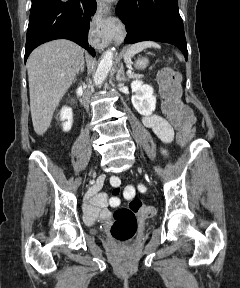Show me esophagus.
Masks as SVG:
<instances>
[{
    "mask_svg": "<svg viewBox=\"0 0 240 288\" xmlns=\"http://www.w3.org/2000/svg\"><path fill=\"white\" fill-rule=\"evenodd\" d=\"M94 21L97 26L98 40L106 46L113 38L114 20L110 15V7L104 0H97Z\"/></svg>",
    "mask_w": 240,
    "mask_h": 288,
    "instance_id": "esophagus-1",
    "label": "esophagus"
}]
</instances>
